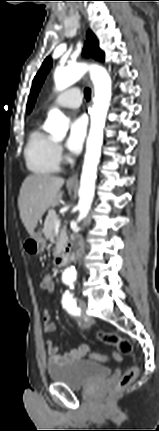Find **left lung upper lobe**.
<instances>
[{
    "label": "left lung upper lobe",
    "instance_id": "obj_1",
    "mask_svg": "<svg viewBox=\"0 0 159 431\" xmlns=\"http://www.w3.org/2000/svg\"><path fill=\"white\" fill-rule=\"evenodd\" d=\"M88 41L85 42V47L83 50V56L85 57H93L96 60H103L104 53L98 48V41H95V36L92 32L87 33ZM52 66V60L50 57H47L40 70L36 74L33 82H32V88L30 91V95L28 98V104H27V113H29L33 106L35 99L37 97V94L39 92L40 87L43 84V81L49 72L50 68Z\"/></svg>",
    "mask_w": 159,
    "mask_h": 431
}]
</instances>
